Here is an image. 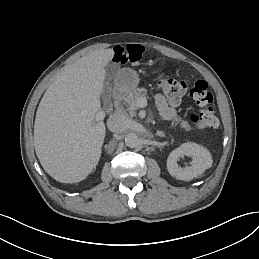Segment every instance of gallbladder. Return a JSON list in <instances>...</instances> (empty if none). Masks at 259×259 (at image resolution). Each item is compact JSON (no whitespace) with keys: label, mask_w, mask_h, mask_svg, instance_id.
<instances>
[{"label":"gallbladder","mask_w":259,"mask_h":259,"mask_svg":"<svg viewBox=\"0 0 259 259\" xmlns=\"http://www.w3.org/2000/svg\"><path fill=\"white\" fill-rule=\"evenodd\" d=\"M118 68V64H110L107 67V77L111 78L115 71ZM113 97V89L111 87L105 86L104 88V92H103V99H104V103H105V107L107 109L112 107V103H111V99Z\"/></svg>","instance_id":"1"}]
</instances>
